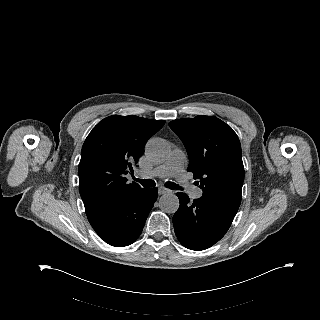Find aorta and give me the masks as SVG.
Here are the masks:
<instances>
[{"mask_svg":"<svg viewBox=\"0 0 320 320\" xmlns=\"http://www.w3.org/2000/svg\"><path fill=\"white\" fill-rule=\"evenodd\" d=\"M145 154L153 162H162L170 154V146L163 139H151L145 148ZM160 208L166 213H175L179 208V199L175 194L167 193L160 197Z\"/></svg>","mask_w":320,"mask_h":320,"instance_id":"obj_1","label":"aorta"}]
</instances>
